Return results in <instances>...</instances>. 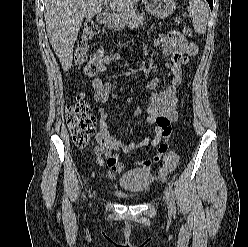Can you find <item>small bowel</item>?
Masks as SVG:
<instances>
[{"instance_id":"c3829d8e","label":"small bowel","mask_w":248,"mask_h":247,"mask_svg":"<svg viewBox=\"0 0 248 247\" xmlns=\"http://www.w3.org/2000/svg\"><path fill=\"white\" fill-rule=\"evenodd\" d=\"M154 45L162 50L166 59L164 62L166 72L164 75L147 82L146 87L151 91L149 104L145 109L139 108L134 113V116L146 114L147 122L154 126L153 137H146L140 144L134 142L125 144L115 138L109 130L108 114L105 108L108 102L115 99L111 83L103 80L100 75L92 81L95 90L94 97L100 104L98 112L99 130L96 134L97 145L94 152L98 164L109 168L108 175L110 178L114 177L116 171H123L124 169L123 165L117 161V151L130 153L147 146L156 147L157 153L153 158L142 160L139 164L149 167L162 161V171L164 173L173 170L178 163L177 155L169 151L172 133L171 122L177 119V103L181 93L179 87L183 81L184 66L197 54V47L177 31L160 35L155 39ZM119 59L120 55L118 53L103 56L100 59L99 71L101 73L106 72L108 66ZM165 75H170V81L164 85L162 90H158L161 82H164Z\"/></svg>"}]
</instances>
